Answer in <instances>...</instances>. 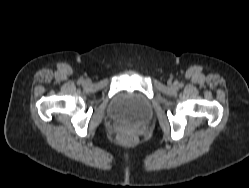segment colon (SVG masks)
<instances>
[{
    "label": "colon",
    "instance_id": "5ec220e1",
    "mask_svg": "<svg viewBox=\"0 0 249 188\" xmlns=\"http://www.w3.org/2000/svg\"><path fill=\"white\" fill-rule=\"evenodd\" d=\"M120 140L123 144L129 145L135 142L136 135L133 131L125 130L121 133Z\"/></svg>",
    "mask_w": 249,
    "mask_h": 188
}]
</instances>
